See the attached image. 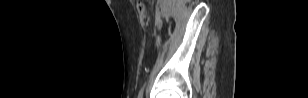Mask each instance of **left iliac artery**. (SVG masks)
Returning a JSON list of instances; mask_svg holds the SVG:
<instances>
[{"mask_svg":"<svg viewBox=\"0 0 308 98\" xmlns=\"http://www.w3.org/2000/svg\"><path fill=\"white\" fill-rule=\"evenodd\" d=\"M161 41H162V38L158 36L156 44L160 45ZM144 88H145V85H143V87L140 89L139 94H138V98H143Z\"/></svg>","mask_w":308,"mask_h":98,"instance_id":"44dca946","label":"left iliac artery"}]
</instances>
